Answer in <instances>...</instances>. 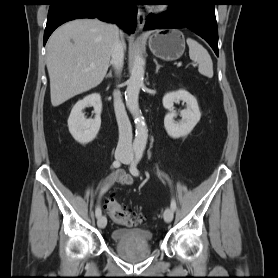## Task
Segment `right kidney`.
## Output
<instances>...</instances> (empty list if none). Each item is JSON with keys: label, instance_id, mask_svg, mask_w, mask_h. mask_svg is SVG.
<instances>
[{"label": "right kidney", "instance_id": "1", "mask_svg": "<svg viewBox=\"0 0 278 278\" xmlns=\"http://www.w3.org/2000/svg\"><path fill=\"white\" fill-rule=\"evenodd\" d=\"M91 105L95 111L94 119H86L82 110ZM102 101L98 93H93L78 101L68 118L69 132L80 144H87L95 139L101 126Z\"/></svg>", "mask_w": 278, "mask_h": 278}]
</instances>
